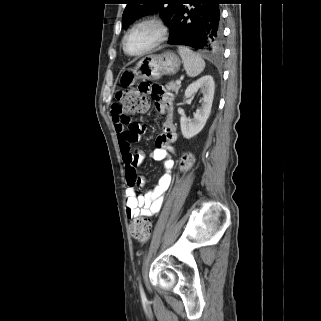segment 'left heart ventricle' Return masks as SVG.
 <instances>
[{
  "instance_id": "b2bd125f",
  "label": "left heart ventricle",
  "mask_w": 321,
  "mask_h": 321,
  "mask_svg": "<svg viewBox=\"0 0 321 321\" xmlns=\"http://www.w3.org/2000/svg\"><path fill=\"white\" fill-rule=\"evenodd\" d=\"M156 38V31L152 26H141L135 29L127 38L126 46L130 53H137L148 47Z\"/></svg>"
}]
</instances>
